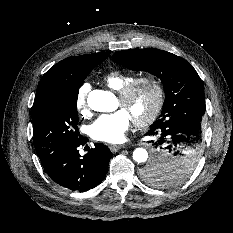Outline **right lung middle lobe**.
Here are the masks:
<instances>
[{
    "instance_id": "right-lung-middle-lobe-1",
    "label": "right lung middle lobe",
    "mask_w": 233,
    "mask_h": 233,
    "mask_svg": "<svg viewBox=\"0 0 233 233\" xmlns=\"http://www.w3.org/2000/svg\"><path fill=\"white\" fill-rule=\"evenodd\" d=\"M89 69L73 79L70 88L51 90L32 107L33 138L40 159L56 156L80 141L78 132L77 97Z\"/></svg>"
}]
</instances>
